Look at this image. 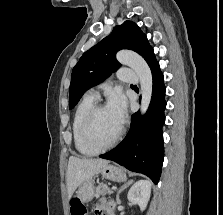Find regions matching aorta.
Masks as SVG:
<instances>
[{
	"mask_svg": "<svg viewBox=\"0 0 223 215\" xmlns=\"http://www.w3.org/2000/svg\"><path fill=\"white\" fill-rule=\"evenodd\" d=\"M117 60L120 64L129 66L134 72L138 73L142 94L141 113H145L151 102L153 86L152 74L148 64H146L142 56H139L136 52H130V50H121V52H118Z\"/></svg>",
	"mask_w": 223,
	"mask_h": 215,
	"instance_id": "762f6f07",
	"label": "aorta"
}]
</instances>
